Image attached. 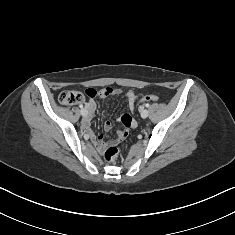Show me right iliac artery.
I'll use <instances>...</instances> for the list:
<instances>
[{"instance_id":"obj_1","label":"right iliac artery","mask_w":235,"mask_h":235,"mask_svg":"<svg viewBox=\"0 0 235 235\" xmlns=\"http://www.w3.org/2000/svg\"><path fill=\"white\" fill-rule=\"evenodd\" d=\"M79 107L81 108V110H84V109H83V105H80Z\"/></svg>"}]
</instances>
